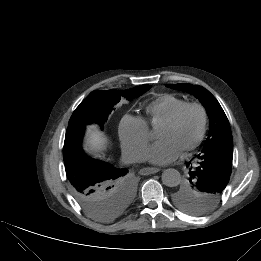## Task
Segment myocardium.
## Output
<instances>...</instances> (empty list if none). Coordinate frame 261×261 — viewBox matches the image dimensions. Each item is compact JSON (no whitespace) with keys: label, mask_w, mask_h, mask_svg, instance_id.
<instances>
[{"label":"myocardium","mask_w":261,"mask_h":261,"mask_svg":"<svg viewBox=\"0 0 261 261\" xmlns=\"http://www.w3.org/2000/svg\"><path fill=\"white\" fill-rule=\"evenodd\" d=\"M190 108H197L200 111L201 118H202L201 126H200V130L198 132V135L196 136L194 141L183 149L182 155H186L188 152L193 151L194 149H196L202 143V141H203V139L205 137L206 130H207V124H208V113H207V110H206L205 106L202 103L196 102V101L186 102L181 107H179L171 115V117L168 118L163 123V125H165V126H174V125H176L180 121V119L182 118L184 113L188 109H190Z\"/></svg>","instance_id":"f54148a6"}]
</instances>
